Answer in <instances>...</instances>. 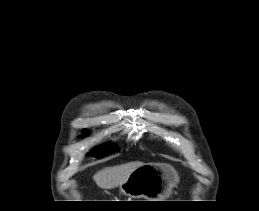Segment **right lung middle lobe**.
<instances>
[{
	"label": "right lung middle lobe",
	"mask_w": 259,
	"mask_h": 211,
	"mask_svg": "<svg viewBox=\"0 0 259 211\" xmlns=\"http://www.w3.org/2000/svg\"><path fill=\"white\" fill-rule=\"evenodd\" d=\"M86 134H87V131H84V135ZM116 151H119L118 147L112 144H108V145H103V146H99L98 148H95L94 150L91 151L90 154L94 157H102Z\"/></svg>",
	"instance_id": "right-lung-middle-lobe-1"
}]
</instances>
